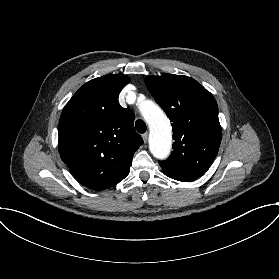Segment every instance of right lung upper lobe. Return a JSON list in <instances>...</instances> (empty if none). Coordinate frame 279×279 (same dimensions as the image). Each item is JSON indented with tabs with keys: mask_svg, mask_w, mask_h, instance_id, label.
<instances>
[{
	"mask_svg": "<svg viewBox=\"0 0 279 279\" xmlns=\"http://www.w3.org/2000/svg\"><path fill=\"white\" fill-rule=\"evenodd\" d=\"M129 80L122 74L93 79L62 111L58 128L61 159L89 189L104 190L122 181L143 143L133 127L135 115L118 102Z\"/></svg>",
	"mask_w": 279,
	"mask_h": 279,
	"instance_id": "cb5924a9",
	"label": "right lung upper lobe"
}]
</instances>
